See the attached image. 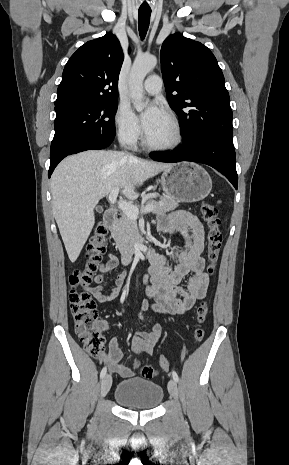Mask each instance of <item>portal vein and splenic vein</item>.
Here are the masks:
<instances>
[{"label":"portal vein and splenic vein","instance_id":"18ae733b","mask_svg":"<svg viewBox=\"0 0 289 465\" xmlns=\"http://www.w3.org/2000/svg\"><path fill=\"white\" fill-rule=\"evenodd\" d=\"M118 193H119V188L113 189L109 194V202L111 204L117 203L118 207L122 210V212L126 216H128L130 219L136 220L138 218L140 212L141 213H149V212L153 211V209L155 208V206L153 204H149V205H146L145 207H143L141 209V211L139 212V209L136 206H134L133 204L128 203V202H126L124 200L117 201Z\"/></svg>","mask_w":289,"mask_h":465}]
</instances>
